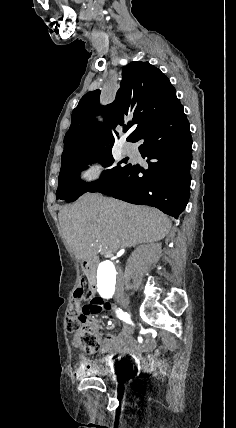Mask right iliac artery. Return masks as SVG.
Returning <instances> with one entry per match:
<instances>
[{
  "label": "right iliac artery",
  "mask_w": 236,
  "mask_h": 428,
  "mask_svg": "<svg viewBox=\"0 0 236 428\" xmlns=\"http://www.w3.org/2000/svg\"><path fill=\"white\" fill-rule=\"evenodd\" d=\"M116 314L117 317L121 320H123L124 322L128 323V324H132V321L130 319V315L127 312H123L121 309L116 310Z\"/></svg>",
  "instance_id": "1"
}]
</instances>
